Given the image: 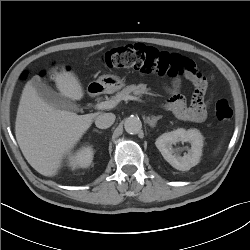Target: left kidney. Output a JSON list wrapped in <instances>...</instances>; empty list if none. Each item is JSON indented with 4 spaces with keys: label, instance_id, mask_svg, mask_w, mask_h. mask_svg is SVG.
Segmentation results:
<instances>
[{
    "label": "left kidney",
    "instance_id": "left-kidney-1",
    "mask_svg": "<svg viewBox=\"0 0 250 250\" xmlns=\"http://www.w3.org/2000/svg\"><path fill=\"white\" fill-rule=\"evenodd\" d=\"M178 142L191 143V149L188 150V153H185L183 156L178 154L172 146ZM155 145L172 167L180 171H188L200 161L203 136L197 129L185 130L178 128L159 136L156 139Z\"/></svg>",
    "mask_w": 250,
    "mask_h": 250
}]
</instances>
